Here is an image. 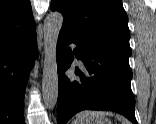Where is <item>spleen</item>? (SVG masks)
<instances>
[{
  "mask_svg": "<svg viewBox=\"0 0 156 124\" xmlns=\"http://www.w3.org/2000/svg\"><path fill=\"white\" fill-rule=\"evenodd\" d=\"M113 114L111 112L107 111H91V110H85L77 114L75 123H79L83 120L93 119L97 117H104V116H112ZM122 124H127L128 122L119 117Z\"/></svg>",
  "mask_w": 156,
  "mask_h": 124,
  "instance_id": "obj_1",
  "label": "spleen"
}]
</instances>
